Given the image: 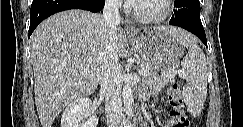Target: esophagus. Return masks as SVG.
I'll use <instances>...</instances> for the list:
<instances>
[{"mask_svg": "<svg viewBox=\"0 0 243 127\" xmlns=\"http://www.w3.org/2000/svg\"><path fill=\"white\" fill-rule=\"evenodd\" d=\"M124 32H125L126 34L133 35V34H135V29H134L133 26L127 24V25L125 26Z\"/></svg>", "mask_w": 243, "mask_h": 127, "instance_id": "obj_1", "label": "esophagus"}]
</instances>
